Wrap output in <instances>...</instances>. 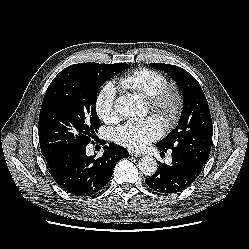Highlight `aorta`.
Wrapping results in <instances>:
<instances>
[{"label":"aorta","instance_id":"1","mask_svg":"<svg viewBox=\"0 0 249 249\" xmlns=\"http://www.w3.org/2000/svg\"><path fill=\"white\" fill-rule=\"evenodd\" d=\"M114 107L116 112L125 117L138 116L143 112V102L135 94L120 96L116 100ZM138 168L144 175H153L157 171V161L153 157L144 156L139 159Z\"/></svg>","mask_w":249,"mask_h":249}]
</instances>
